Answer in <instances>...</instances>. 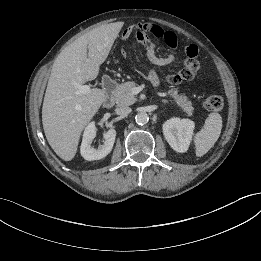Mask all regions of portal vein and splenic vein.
Segmentation results:
<instances>
[{"instance_id":"18ae733b","label":"portal vein and splenic vein","mask_w":261,"mask_h":261,"mask_svg":"<svg viewBox=\"0 0 261 261\" xmlns=\"http://www.w3.org/2000/svg\"><path fill=\"white\" fill-rule=\"evenodd\" d=\"M76 87L78 88V91H77L78 94H80V93H87V92L90 91V86H88V85L76 84Z\"/></svg>"}]
</instances>
